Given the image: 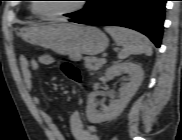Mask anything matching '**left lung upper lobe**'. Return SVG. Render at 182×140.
<instances>
[{
    "label": "left lung upper lobe",
    "instance_id": "obj_1",
    "mask_svg": "<svg viewBox=\"0 0 182 140\" xmlns=\"http://www.w3.org/2000/svg\"><path fill=\"white\" fill-rule=\"evenodd\" d=\"M99 2V0H90L89 2H88V4L85 6V8L83 9V10H81V11H78V12H76V14L77 15H79V14H84V13H87L91 8H93L97 3ZM67 16H70V15H67ZM70 17H72V16H70Z\"/></svg>",
    "mask_w": 182,
    "mask_h": 140
}]
</instances>
